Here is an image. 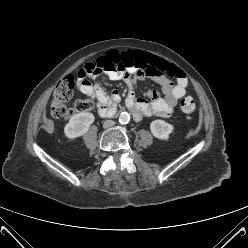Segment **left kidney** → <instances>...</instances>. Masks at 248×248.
<instances>
[{"mask_svg":"<svg viewBox=\"0 0 248 248\" xmlns=\"http://www.w3.org/2000/svg\"><path fill=\"white\" fill-rule=\"evenodd\" d=\"M150 130L154 137L160 140H167L174 131V126L164 120L157 119L151 122Z\"/></svg>","mask_w":248,"mask_h":248,"instance_id":"obj_1","label":"left kidney"}]
</instances>
